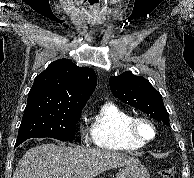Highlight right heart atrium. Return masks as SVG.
<instances>
[{
  "mask_svg": "<svg viewBox=\"0 0 194 178\" xmlns=\"http://www.w3.org/2000/svg\"><path fill=\"white\" fill-rule=\"evenodd\" d=\"M80 137L83 143H88L89 137L86 131L83 128H80Z\"/></svg>",
  "mask_w": 194,
  "mask_h": 178,
  "instance_id": "right-heart-atrium-1",
  "label": "right heart atrium"
}]
</instances>
